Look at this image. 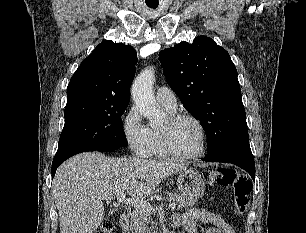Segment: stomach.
<instances>
[{
  "label": "stomach",
  "mask_w": 306,
  "mask_h": 233,
  "mask_svg": "<svg viewBox=\"0 0 306 233\" xmlns=\"http://www.w3.org/2000/svg\"><path fill=\"white\" fill-rule=\"evenodd\" d=\"M177 186L182 196L193 199L201 197L205 191L202 176L191 168L179 172Z\"/></svg>",
  "instance_id": "stomach-1"
}]
</instances>
